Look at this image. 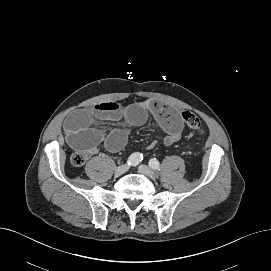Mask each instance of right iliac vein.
I'll use <instances>...</instances> for the list:
<instances>
[{"label": "right iliac vein", "instance_id": "63e3f726", "mask_svg": "<svg viewBox=\"0 0 271 271\" xmlns=\"http://www.w3.org/2000/svg\"><path fill=\"white\" fill-rule=\"evenodd\" d=\"M129 167L127 165H121V166H118L116 169H115V176L116 177H119L121 175H123L124 173H126L128 171Z\"/></svg>", "mask_w": 271, "mask_h": 271}]
</instances>
